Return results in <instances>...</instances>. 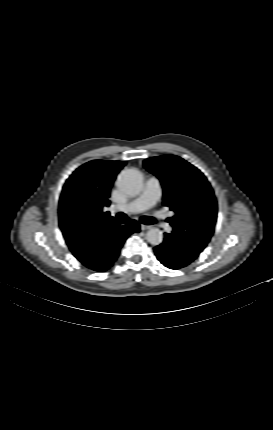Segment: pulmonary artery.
Listing matches in <instances>:
<instances>
[{"label": "pulmonary artery", "instance_id": "pulmonary-artery-1", "mask_svg": "<svg viewBox=\"0 0 273 430\" xmlns=\"http://www.w3.org/2000/svg\"><path fill=\"white\" fill-rule=\"evenodd\" d=\"M161 197V187L157 178L150 177L145 185L142 194L134 201L115 207V210L126 213H138L149 209L155 205ZM162 227L167 231H171L170 225L163 223Z\"/></svg>", "mask_w": 273, "mask_h": 430}]
</instances>
